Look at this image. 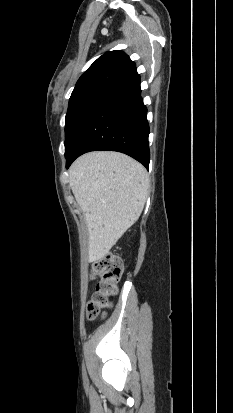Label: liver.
<instances>
[{
    "mask_svg": "<svg viewBox=\"0 0 233 413\" xmlns=\"http://www.w3.org/2000/svg\"><path fill=\"white\" fill-rule=\"evenodd\" d=\"M88 228V260L100 261L141 215L149 194L145 168L118 152H91L69 169Z\"/></svg>",
    "mask_w": 233,
    "mask_h": 413,
    "instance_id": "obj_1",
    "label": "liver"
}]
</instances>
